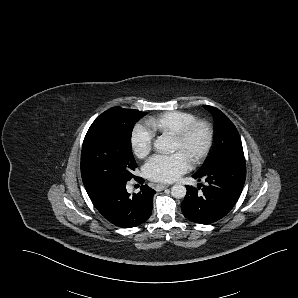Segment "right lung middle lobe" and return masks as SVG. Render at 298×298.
Segmentation results:
<instances>
[{
  "instance_id": "right-lung-middle-lobe-1",
  "label": "right lung middle lobe",
  "mask_w": 298,
  "mask_h": 298,
  "mask_svg": "<svg viewBox=\"0 0 298 298\" xmlns=\"http://www.w3.org/2000/svg\"><path fill=\"white\" fill-rule=\"evenodd\" d=\"M145 115L138 110L113 107L90 126L83 141L81 175L87 189L126 183L137 164L132 154L134 124Z\"/></svg>"
}]
</instances>
